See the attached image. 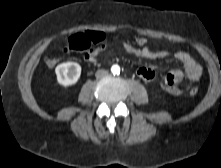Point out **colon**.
Instances as JSON below:
<instances>
[{
    "label": "colon",
    "mask_w": 221,
    "mask_h": 168,
    "mask_svg": "<svg viewBox=\"0 0 221 168\" xmlns=\"http://www.w3.org/2000/svg\"><path fill=\"white\" fill-rule=\"evenodd\" d=\"M104 40V34L98 31L77 33L72 35L68 40L67 48L72 52H85L89 51L92 45L99 44ZM134 44L139 47H144L147 44L145 37L136 36L134 38ZM46 65L50 68L57 64V59L47 58ZM198 93V89L193 87L189 90L191 96H195Z\"/></svg>",
    "instance_id": "1"
}]
</instances>
